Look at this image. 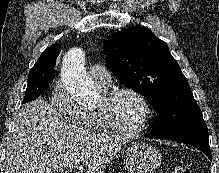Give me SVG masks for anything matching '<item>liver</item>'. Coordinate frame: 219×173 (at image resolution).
<instances>
[{"instance_id":"obj_1","label":"liver","mask_w":219,"mask_h":173,"mask_svg":"<svg viewBox=\"0 0 219 173\" xmlns=\"http://www.w3.org/2000/svg\"><path fill=\"white\" fill-rule=\"evenodd\" d=\"M122 142L120 137L73 126L38 98L22 106L15 116L5 173H63L80 161L85 163L86 173H102Z\"/></svg>"}]
</instances>
